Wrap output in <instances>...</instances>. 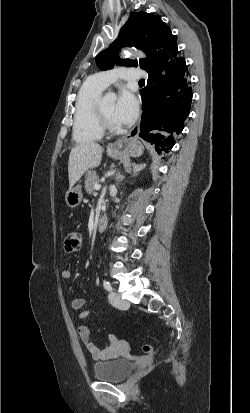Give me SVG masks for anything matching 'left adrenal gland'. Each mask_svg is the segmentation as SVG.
<instances>
[{"label": "left adrenal gland", "instance_id": "a2214340", "mask_svg": "<svg viewBox=\"0 0 250 413\" xmlns=\"http://www.w3.org/2000/svg\"><path fill=\"white\" fill-rule=\"evenodd\" d=\"M140 170H142L141 166H135L134 167V175L137 174Z\"/></svg>", "mask_w": 250, "mask_h": 413}]
</instances>
